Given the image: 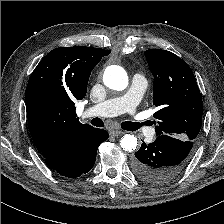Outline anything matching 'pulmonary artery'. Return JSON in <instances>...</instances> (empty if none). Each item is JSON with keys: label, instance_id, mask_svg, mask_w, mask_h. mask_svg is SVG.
<instances>
[{"label": "pulmonary artery", "instance_id": "e3ab8cb5", "mask_svg": "<svg viewBox=\"0 0 224 224\" xmlns=\"http://www.w3.org/2000/svg\"><path fill=\"white\" fill-rule=\"evenodd\" d=\"M147 84L145 76L136 73L133 75L129 89L124 95L108 99L85 109L83 116L113 117L124 113L135 114ZM133 123L139 124V128H142L143 123L139 122L137 117L133 120ZM150 131L153 132V129Z\"/></svg>", "mask_w": 224, "mask_h": 224}]
</instances>
